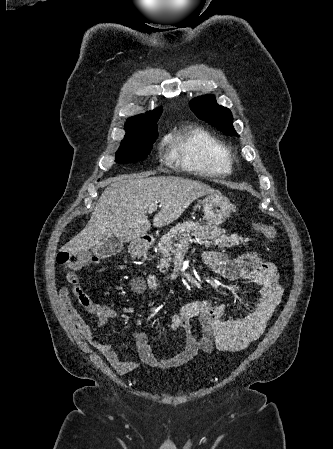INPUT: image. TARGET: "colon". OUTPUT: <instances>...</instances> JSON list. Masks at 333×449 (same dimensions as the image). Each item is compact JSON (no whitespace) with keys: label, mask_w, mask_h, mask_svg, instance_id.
Here are the masks:
<instances>
[{"label":"colon","mask_w":333,"mask_h":449,"mask_svg":"<svg viewBox=\"0 0 333 449\" xmlns=\"http://www.w3.org/2000/svg\"><path fill=\"white\" fill-rule=\"evenodd\" d=\"M253 227L256 231L271 241L277 239L276 230L269 225L253 222ZM57 263L66 269H80L86 266H92L99 263L100 258L96 255L87 252H75V251H60L57 254Z\"/></svg>","instance_id":"obj_1"}]
</instances>
